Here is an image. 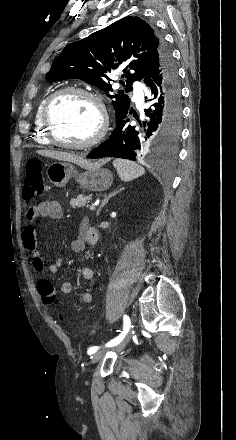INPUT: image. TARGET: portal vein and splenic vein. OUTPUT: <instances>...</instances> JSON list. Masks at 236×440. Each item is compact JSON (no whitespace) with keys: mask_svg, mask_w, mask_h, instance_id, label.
<instances>
[{"mask_svg":"<svg viewBox=\"0 0 236 440\" xmlns=\"http://www.w3.org/2000/svg\"><path fill=\"white\" fill-rule=\"evenodd\" d=\"M95 206H96V204H92V205L90 206V210L93 211V210L95 209Z\"/></svg>","mask_w":236,"mask_h":440,"instance_id":"1","label":"portal vein and splenic vein"}]
</instances>
